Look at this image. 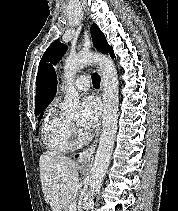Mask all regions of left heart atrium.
<instances>
[{
  "label": "left heart atrium",
  "instance_id": "39dd6f15",
  "mask_svg": "<svg viewBox=\"0 0 178 211\" xmlns=\"http://www.w3.org/2000/svg\"><path fill=\"white\" fill-rule=\"evenodd\" d=\"M100 112V104L97 99L89 96L82 100L78 125L83 134H89L97 126Z\"/></svg>",
  "mask_w": 178,
  "mask_h": 211
}]
</instances>
